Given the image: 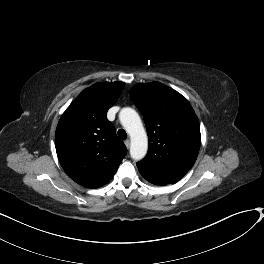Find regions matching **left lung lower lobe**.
Instances as JSON below:
<instances>
[{"label":"left lung lower lobe","mask_w":264,"mask_h":264,"mask_svg":"<svg viewBox=\"0 0 264 264\" xmlns=\"http://www.w3.org/2000/svg\"><path fill=\"white\" fill-rule=\"evenodd\" d=\"M147 181H149L150 183L152 184H155V185H167L168 183H164V182H160V181H156V180H153V179H150V178H147L146 176L142 175Z\"/></svg>","instance_id":"left-lung-lower-lobe-1"}]
</instances>
